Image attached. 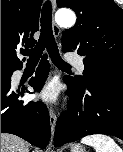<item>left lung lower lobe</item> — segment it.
Returning <instances> with one entry per match:
<instances>
[{
    "label": "left lung lower lobe",
    "mask_w": 123,
    "mask_h": 152,
    "mask_svg": "<svg viewBox=\"0 0 123 152\" xmlns=\"http://www.w3.org/2000/svg\"><path fill=\"white\" fill-rule=\"evenodd\" d=\"M65 52V51H64ZM70 97L69 114L57 121L54 145L74 142L91 134L113 135L123 140V78L89 77L77 85L65 76Z\"/></svg>",
    "instance_id": "obj_1"
}]
</instances>
